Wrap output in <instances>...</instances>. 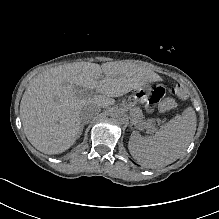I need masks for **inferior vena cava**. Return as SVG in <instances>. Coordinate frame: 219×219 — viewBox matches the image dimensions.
<instances>
[{"label": "inferior vena cava", "mask_w": 219, "mask_h": 219, "mask_svg": "<svg viewBox=\"0 0 219 219\" xmlns=\"http://www.w3.org/2000/svg\"><path fill=\"white\" fill-rule=\"evenodd\" d=\"M99 110L96 107H87L81 111V118L83 121H93L99 117Z\"/></svg>", "instance_id": "602c4592"}]
</instances>
